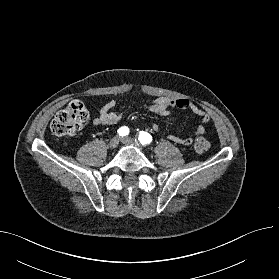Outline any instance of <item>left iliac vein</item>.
I'll use <instances>...</instances> for the list:
<instances>
[{
	"instance_id": "1",
	"label": "left iliac vein",
	"mask_w": 279,
	"mask_h": 279,
	"mask_svg": "<svg viewBox=\"0 0 279 279\" xmlns=\"http://www.w3.org/2000/svg\"><path fill=\"white\" fill-rule=\"evenodd\" d=\"M121 141L126 145L135 146V147L139 148L140 150L143 149L142 146L136 140H134L130 137L122 138Z\"/></svg>"
}]
</instances>
